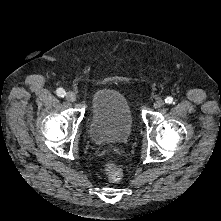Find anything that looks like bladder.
Wrapping results in <instances>:
<instances>
[{
  "label": "bladder",
  "mask_w": 221,
  "mask_h": 221,
  "mask_svg": "<svg viewBox=\"0 0 221 221\" xmlns=\"http://www.w3.org/2000/svg\"><path fill=\"white\" fill-rule=\"evenodd\" d=\"M133 118L125 96L111 89L96 93L88 122L89 136L96 143L126 141L132 131Z\"/></svg>",
  "instance_id": "1"
}]
</instances>
